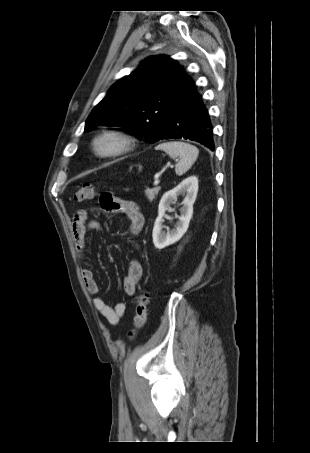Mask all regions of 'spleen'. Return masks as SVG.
<instances>
[{
  "instance_id": "spleen-1",
  "label": "spleen",
  "mask_w": 310,
  "mask_h": 453,
  "mask_svg": "<svg viewBox=\"0 0 310 453\" xmlns=\"http://www.w3.org/2000/svg\"><path fill=\"white\" fill-rule=\"evenodd\" d=\"M156 150H163L171 158H179L175 172L178 176L186 173L197 160L199 150L196 146L180 141H171L159 144Z\"/></svg>"
}]
</instances>
